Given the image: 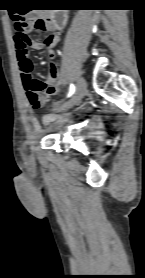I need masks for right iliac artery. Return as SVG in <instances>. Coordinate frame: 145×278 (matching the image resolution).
<instances>
[{
	"label": "right iliac artery",
	"instance_id": "obj_1",
	"mask_svg": "<svg viewBox=\"0 0 145 278\" xmlns=\"http://www.w3.org/2000/svg\"><path fill=\"white\" fill-rule=\"evenodd\" d=\"M74 92H75V86L73 84H71L68 97H70Z\"/></svg>",
	"mask_w": 145,
	"mask_h": 278
}]
</instances>
